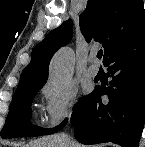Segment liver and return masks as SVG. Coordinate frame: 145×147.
Returning a JSON list of instances; mask_svg holds the SVG:
<instances>
[{
  "mask_svg": "<svg viewBox=\"0 0 145 147\" xmlns=\"http://www.w3.org/2000/svg\"><path fill=\"white\" fill-rule=\"evenodd\" d=\"M24 147H65L61 136L50 135L34 140ZM73 147H82L79 143L73 142Z\"/></svg>",
  "mask_w": 145,
  "mask_h": 147,
  "instance_id": "liver-1",
  "label": "liver"
}]
</instances>
